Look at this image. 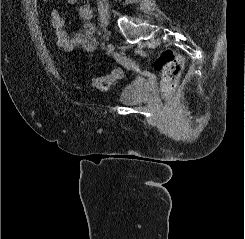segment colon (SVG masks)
<instances>
[{
    "mask_svg": "<svg viewBox=\"0 0 245 239\" xmlns=\"http://www.w3.org/2000/svg\"><path fill=\"white\" fill-rule=\"evenodd\" d=\"M49 3L51 0H42ZM153 67L161 74V90L164 96L168 97L178 84L184 67L183 57L170 48H164L158 52L153 61ZM124 78V72L116 68L106 76L93 78L91 84L100 91L109 90L117 81Z\"/></svg>",
    "mask_w": 245,
    "mask_h": 239,
    "instance_id": "1",
    "label": "colon"
}]
</instances>
